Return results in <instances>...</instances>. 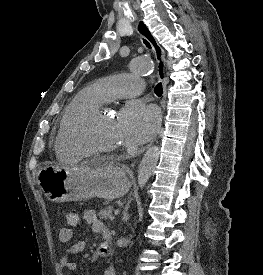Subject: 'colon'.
<instances>
[{
  "instance_id": "1",
  "label": "colon",
  "mask_w": 263,
  "mask_h": 275,
  "mask_svg": "<svg viewBox=\"0 0 263 275\" xmlns=\"http://www.w3.org/2000/svg\"><path fill=\"white\" fill-rule=\"evenodd\" d=\"M64 221L68 226L75 227L78 225L79 218L75 212L68 211L64 213Z\"/></svg>"
}]
</instances>
